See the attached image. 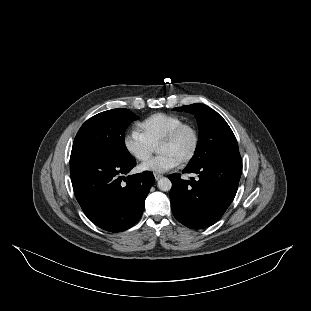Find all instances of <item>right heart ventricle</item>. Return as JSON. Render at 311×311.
Wrapping results in <instances>:
<instances>
[{
	"instance_id": "1",
	"label": "right heart ventricle",
	"mask_w": 311,
	"mask_h": 311,
	"mask_svg": "<svg viewBox=\"0 0 311 311\" xmlns=\"http://www.w3.org/2000/svg\"><path fill=\"white\" fill-rule=\"evenodd\" d=\"M186 121L175 114L156 112L138 122V127L146 140L154 147L173 128Z\"/></svg>"
}]
</instances>
